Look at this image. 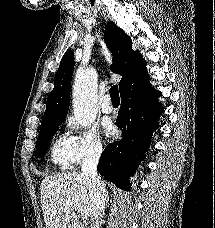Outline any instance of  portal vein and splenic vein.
<instances>
[{
	"mask_svg": "<svg viewBox=\"0 0 215 228\" xmlns=\"http://www.w3.org/2000/svg\"><path fill=\"white\" fill-rule=\"evenodd\" d=\"M67 206H70V208H73V210H77L79 216L81 218H87V212L83 206H80V204H77V202H73V200H67L66 202Z\"/></svg>",
	"mask_w": 215,
	"mask_h": 228,
	"instance_id": "portal-vein-and-splenic-vein-1",
	"label": "portal vein and splenic vein"
}]
</instances>
